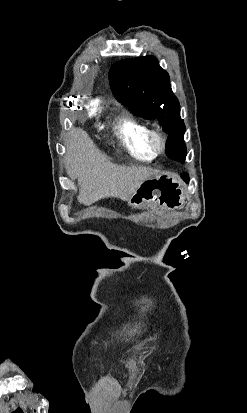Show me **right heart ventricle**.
<instances>
[{"mask_svg":"<svg viewBox=\"0 0 247 413\" xmlns=\"http://www.w3.org/2000/svg\"><path fill=\"white\" fill-rule=\"evenodd\" d=\"M145 127L132 119H123L116 127V134L127 151L137 160L153 161L157 155L145 145Z\"/></svg>","mask_w":247,"mask_h":413,"instance_id":"right-heart-ventricle-1","label":"right heart ventricle"}]
</instances>
